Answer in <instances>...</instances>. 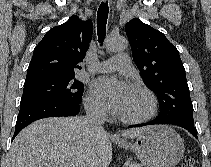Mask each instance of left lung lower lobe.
Wrapping results in <instances>:
<instances>
[{
	"instance_id": "1",
	"label": "left lung lower lobe",
	"mask_w": 211,
	"mask_h": 167,
	"mask_svg": "<svg viewBox=\"0 0 211 167\" xmlns=\"http://www.w3.org/2000/svg\"><path fill=\"white\" fill-rule=\"evenodd\" d=\"M154 124H174L178 125L186 130H188L192 135H194L197 138V130L196 127L194 126V123H189L181 120H160V119H155L153 121L143 123V124H138V125H132L130 127H140V126H146V125H154Z\"/></svg>"
}]
</instances>
